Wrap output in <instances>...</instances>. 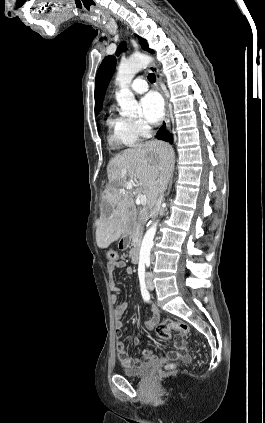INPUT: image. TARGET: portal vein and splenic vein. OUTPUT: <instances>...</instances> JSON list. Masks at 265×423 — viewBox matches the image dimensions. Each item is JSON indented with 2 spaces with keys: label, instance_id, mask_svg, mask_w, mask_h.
Instances as JSON below:
<instances>
[{
  "label": "portal vein and splenic vein",
  "instance_id": "portal-vein-and-splenic-vein-1",
  "mask_svg": "<svg viewBox=\"0 0 265 423\" xmlns=\"http://www.w3.org/2000/svg\"><path fill=\"white\" fill-rule=\"evenodd\" d=\"M138 185L136 184V183H134L133 181H129L127 184H126V186H125V188L127 189V190H129V189H132L133 187H137ZM138 200H139V203L141 204V205H143V206H145L146 204H147V198H146V196L145 195H143V194H140L139 196H138Z\"/></svg>",
  "mask_w": 265,
  "mask_h": 423
}]
</instances>
